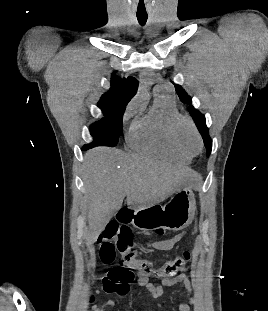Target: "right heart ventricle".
Masks as SVG:
<instances>
[{
	"label": "right heart ventricle",
	"mask_w": 268,
	"mask_h": 311,
	"mask_svg": "<svg viewBox=\"0 0 268 311\" xmlns=\"http://www.w3.org/2000/svg\"><path fill=\"white\" fill-rule=\"evenodd\" d=\"M177 114L171 97L157 95L150 110L139 113L132 122L127 136L129 145L144 154L189 163L191 158L178 150L170 137V121Z\"/></svg>",
	"instance_id": "e07e8e85"
}]
</instances>
